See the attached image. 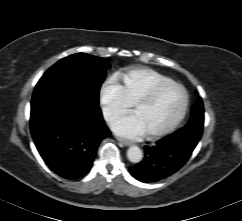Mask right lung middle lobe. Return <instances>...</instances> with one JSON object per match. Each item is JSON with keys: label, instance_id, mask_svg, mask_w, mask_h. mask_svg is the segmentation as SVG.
<instances>
[{"label": "right lung middle lobe", "instance_id": "1", "mask_svg": "<svg viewBox=\"0 0 242 221\" xmlns=\"http://www.w3.org/2000/svg\"><path fill=\"white\" fill-rule=\"evenodd\" d=\"M110 64L103 58L85 53L65 57L53 65L37 83L32 103L71 92L82 97L87 105H99V89Z\"/></svg>", "mask_w": 242, "mask_h": 221}]
</instances>
